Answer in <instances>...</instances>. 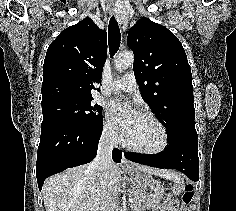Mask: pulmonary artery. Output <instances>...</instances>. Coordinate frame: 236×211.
I'll list each match as a JSON object with an SVG mask.
<instances>
[{
	"label": "pulmonary artery",
	"instance_id": "pulmonary-artery-1",
	"mask_svg": "<svg viewBox=\"0 0 236 211\" xmlns=\"http://www.w3.org/2000/svg\"><path fill=\"white\" fill-rule=\"evenodd\" d=\"M138 88L137 81L133 75H125L119 79L114 85V91L134 92Z\"/></svg>",
	"mask_w": 236,
	"mask_h": 211
}]
</instances>
